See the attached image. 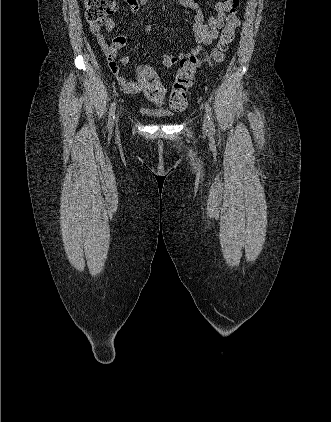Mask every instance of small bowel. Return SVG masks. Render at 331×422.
<instances>
[{"label":"small bowel","mask_w":331,"mask_h":422,"mask_svg":"<svg viewBox=\"0 0 331 422\" xmlns=\"http://www.w3.org/2000/svg\"><path fill=\"white\" fill-rule=\"evenodd\" d=\"M130 11L132 13H138L142 6L148 3V0H125ZM180 5L183 7L192 10L195 13L194 24L192 26V31L194 33V39L196 46L193 47L188 52H182L176 55L164 54L161 57V61L164 66L172 67L178 65L184 59L190 57H195L202 52L203 46L209 45L214 39L218 36V30L223 26L226 14L231 10L233 5V0H226L218 2L215 6L216 14L213 17H210L207 22H205V17L202 13L201 7L195 0H177ZM158 19V18H156ZM104 27L107 31H113L115 23L113 19H106L104 21ZM145 32L150 33L152 27L150 25L145 26ZM90 31L92 35L96 38V41L105 54L108 65L111 72L115 76L118 84L125 93L138 94L143 92V87L139 81L127 80L120 72V65L127 64L129 59L117 58L118 52L125 46L126 38L124 36H118L114 38L110 43H107L101 27L99 24H90ZM146 57H150V53H145ZM161 101V100H160ZM157 101V102H160Z\"/></svg>","instance_id":"c3829d8e"}]
</instances>
